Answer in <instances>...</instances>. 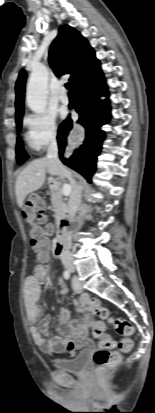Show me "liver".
Returning <instances> with one entry per match:
<instances>
[{
  "label": "liver",
  "mask_w": 155,
  "mask_h": 413,
  "mask_svg": "<svg viewBox=\"0 0 155 413\" xmlns=\"http://www.w3.org/2000/svg\"><path fill=\"white\" fill-rule=\"evenodd\" d=\"M46 173L64 179L56 166L50 163L47 157L30 162L18 175L15 182L17 204L23 207L26 196L39 190L45 182Z\"/></svg>",
  "instance_id": "obj_1"
}]
</instances>
